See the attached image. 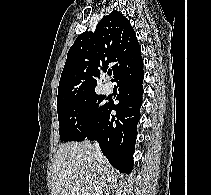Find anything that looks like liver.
Returning a JSON list of instances; mask_svg holds the SVG:
<instances>
[{"mask_svg":"<svg viewBox=\"0 0 211 195\" xmlns=\"http://www.w3.org/2000/svg\"><path fill=\"white\" fill-rule=\"evenodd\" d=\"M102 176L105 186L116 185L117 174L108 160L98 161L88 141L59 146L53 162L51 195H96Z\"/></svg>","mask_w":211,"mask_h":195,"instance_id":"1","label":"liver"}]
</instances>
